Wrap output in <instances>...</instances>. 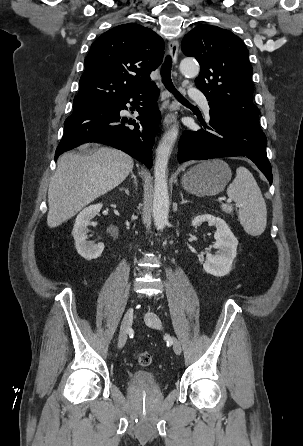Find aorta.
<instances>
[{"label":"aorta","instance_id":"obj_1","mask_svg":"<svg viewBox=\"0 0 303 446\" xmlns=\"http://www.w3.org/2000/svg\"><path fill=\"white\" fill-rule=\"evenodd\" d=\"M180 70L185 76H197L199 65L191 60L184 59L180 63ZM178 137V127L174 126L161 138L156 149L154 165V196L153 220L158 230H163L168 224L169 194L167 185V168L172 148Z\"/></svg>","mask_w":303,"mask_h":446}]
</instances>
